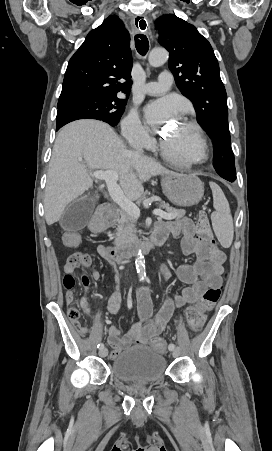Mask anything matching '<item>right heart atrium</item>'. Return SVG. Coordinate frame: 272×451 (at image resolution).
Returning a JSON list of instances; mask_svg holds the SVG:
<instances>
[{
  "label": "right heart atrium",
  "mask_w": 272,
  "mask_h": 451,
  "mask_svg": "<svg viewBox=\"0 0 272 451\" xmlns=\"http://www.w3.org/2000/svg\"><path fill=\"white\" fill-rule=\"evenodd\" d=\"M123 128L125 135L130 142L145 143L149 139L148 131L135 112H131L124 119Z\"/></svg>",
  "instance_id": "1"
}]
</instances>
